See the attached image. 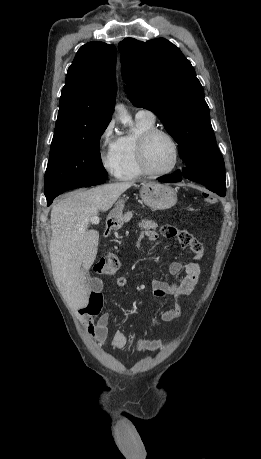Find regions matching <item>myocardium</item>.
I'll list each match as a JSON object with an SVG mask.
<instances>
[{
  "label": "myocardium",
  "mask_w": 261,
  "mask_h": 459,
  "mask_svg": "<svg viewBox=\"0 0 261 459\" xmlns=\"http://www.w3.org/2000/svg\"><path fill=\"white\" fill-rule=\"evenodd\" d=\"M157 135H163L167 137L171 141L173 145V149H174V162L168 170L163 171V172L153 171L149 167V163H148V147H149L151 140ZM137 156H138L139 166L145 175H148L151 177H164V176H168L171 173H173L178 167V164L180 161V146H179L177 139L169 131L155 127L143 133L138 139Z\"/></svg>",
  "instance_id": "1"
}]
</instances>
